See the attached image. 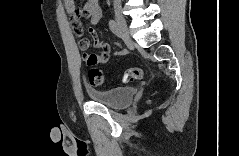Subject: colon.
Here are the masks:
<instances>
[{"instance_id": "1", "label": "colon", "mask_w": 239, "mask_h": 156, "mask_svg": "<svg viewBox=\"0 0 239 156\" xmlns=\"http://www.w3.org/2000/svg\"><path fill=\"white\" fill-rule=\"evenodd\" d=\"M78 16L80 17L81 14H78ZM143 76V72L142 69L139 67H132L127 69L123 76H122V80L124 82L127 81H134V80H139L141 79ZM104 80V75L103 72L101 70H99L96 67H92L89 71H88V81L91 85H98L101 84Z\"/></svg>"}]
</instances>
